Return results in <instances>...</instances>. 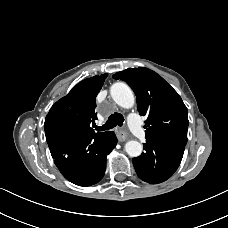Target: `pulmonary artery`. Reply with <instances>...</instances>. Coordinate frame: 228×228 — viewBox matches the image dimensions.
I'll list each match as a JSON object with an SVG mask.
<instances>
[{
	"instance_id": "1",
	"label": "pulmonary artery",
	"mask_w": 228,
	"mask_h": 228,
	"mask_svg": "<svg viewBox=\"0 0 228 228\" xmlns=\"http://www.w3.org/2000/svg\"><path fill=\"white\" fill-rule=\"evenodd\" d=\"M129 126L132 130V132L138 137V138H144L145 137V131L141 127L139 117L136 114H131L129 116Z\"/></svg>"
}]
</instances>
